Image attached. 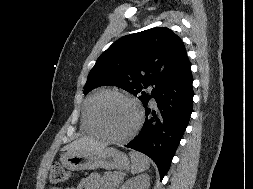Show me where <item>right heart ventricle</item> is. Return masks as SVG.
Instances as JSON below:
<instances>
[{
	"label": "right heart ventricle",
	"instance_id": "e07e8e85",
	"mask_svg": "<svg viewBox=\"0 0 253 189\" xmlns=\"http://www.w3.org/2000/svg\"><path fill=\"white\" fill-rule=\"evenodd\" d=\"M107 92V90H100L90 96L84 103L82 109V126L84 130L93 136H102L99 130L95 127L91 118V106L94 100L102 93Z\"/></svg>",
	"mask_w": 253,
	"mask_h": 189
}]
</instances>
